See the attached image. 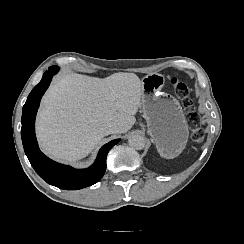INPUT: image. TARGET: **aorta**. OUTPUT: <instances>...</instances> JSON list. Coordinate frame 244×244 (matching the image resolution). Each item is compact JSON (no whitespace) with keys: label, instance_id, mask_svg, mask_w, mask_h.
Segmentation results:
<instances>
[{"label":"aorta","instance_id":"obj_1","mask_svg":"<svg viewBox=\"0 0 244 244\" xmlns=\"http://www.w3.org/2000/svg\"><path fill=\"white\" fill-rule=\"evenodd\" d=\"M128 143L136 150H141L145 147V139L138 134L131 135L128 139Z\"/></svg>","mask_w":244,"mask_h":244}]
</instances>
